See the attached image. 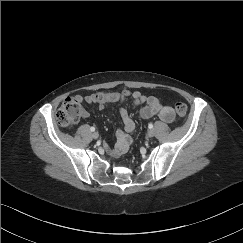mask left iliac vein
<instances>
[{
	"mask_svg": "<svg viewBox=\"0 0 243 243\" xmlns=\"http://www.w3.org/2000/svg\"><path fill=\"white\" fill-rule=\"evenodd\" d=\"M148 137H153L155 135L153 130H149L147 133Z\"/></svg>",
	"mask_w": 243,
	"mask_h": 243,
	"instance_id": "4c4485c4",
	"label": "left iliac vein"
}]
</instances>
